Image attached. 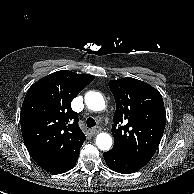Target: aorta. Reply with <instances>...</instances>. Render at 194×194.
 <instances>
[{
  "label": "aorta",
  "instance_id": "762f6f07",
  "mask_svg": "<svg viewBox=\"0 0 194 194\" xmlns=\"http://www.w3.org/2000/svg\"><path fill=\"white\" fill-rule=\"evenodd\" d=\"M85 104L93 111H101L105 108V100L99 92L89 91L85 94ZM96 145L100 150H109L112 146V138L107 133H100L96 137Z\"/></svg>",
  "mask_w": 194,
  "mask_h": 194
}]
</instances>
